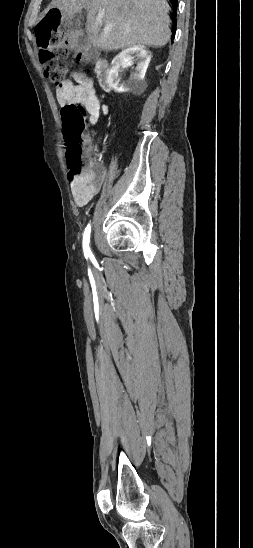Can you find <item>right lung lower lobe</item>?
<instances>
[{
    "instance_id": "obj_1",
    "label": "right lung lower lobe",
    "mask_w": 253,
    "mask_h": 548,
    "mask_svg": "<svg viewBox=\"0 0 253 548\" xmlns=\"http://www.w3.org/2000/svg\"><path fill=\"white\" fill-rule=\"evenodd\" d=\"M170 2H171V4H172L173 8L176 10V9H177V5H178V0H170ZM173 19H174V21L176 22V13H174ZM174 31H175V29H174Z\"/></svg>"
}]
</instances>
